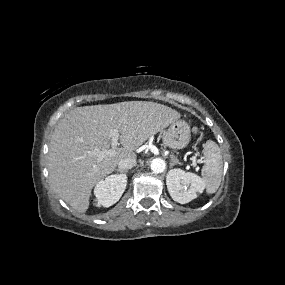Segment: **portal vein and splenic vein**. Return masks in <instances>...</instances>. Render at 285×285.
<instances>
[{
	"label": "portal vein and splenic vein",
	"mask_w": 285,
	"mask_h": 285,
	"mask_svg": "<svg viewBox=\"0 0 285 285\" xmlns=\"http://www.w3.org/2000/svg\"><path fill=\"white\" fill-rule=\"evenodd\" d=\"M119 137H120L119 131L114 129L111 132V147L112 148L108 149V150H96L94 152V154L98 158V161H101L105 157H111V156H114L116 154V150H117L118 145H119V143H118ZM192 161H193V163H195L197 161L195 156L192 157Z\"/></svg>",
	"instance_id": "18ae733b"
}]
</instances>
